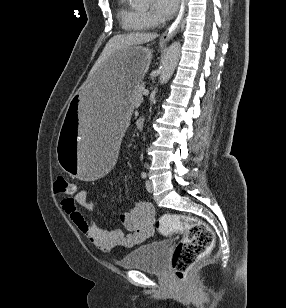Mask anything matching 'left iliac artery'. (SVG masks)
I'll use <instances>...</instances> for the list:
<instances>
[{"mask_svg": "<svg viewBox=\"0 0 286 308\" xmlns=\"http://www.w3.org/2000/svg\"><path fill=\"white\" fill-rule=\"evenodd\" d=\"M141 177H142V178H146V177H147V174H146L145 172H142V173H141Z\"/></svg>", "mask_w": 286, "mask_h": 308, "instance_id": "obj_1", "label": "left iliac artery"}]
</instances>
